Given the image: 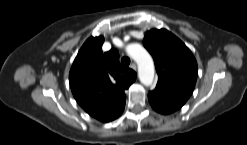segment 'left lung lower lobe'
<instances>
[{
	"mask_svg": "<svg viewBox=\"0 0 247 145\" xmlns=\"http://www.w3.org/2000/svg\"><path fill=\"white\" fill-rule=\"evenodd\" d=\"M148 100L152 108L161 114H170L180 109L187 99L155 88L148 93Z\"/></svg>",
	"mask_w": 247,
	"mask_h": 145,
	"instance_id": "left-lung-lower-lobe-1",
	"label": "left lung lower lobe"
}]
</instances>
